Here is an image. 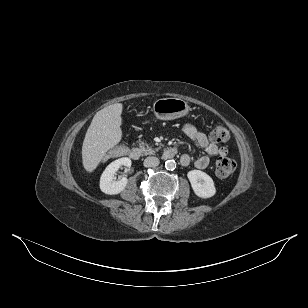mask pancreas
I'll list each match as a JSON object with an SVG mask.
<instances>
[{
  "instance_id": "pancreas-1",
  "label": "pancreas",
  "mask_w": 308,
  "mask_h": 308,
  "mask_svg": "<svg viewBox=\"0 0 308 308\" xmlns=\"http://www.w3.org/2000/svg\"><path fill=\"white\" fill-rule=\"evenodd\" d=\"M139 147L145 155H153L156 151L160 149V147L153 149L149 144L144 143L143 141H139Z\"/></svg>"
}]
</instances>
